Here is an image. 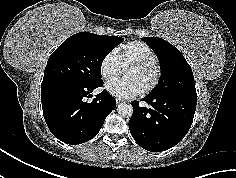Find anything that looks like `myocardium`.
Returning <instances> with one entry per match:
<instances>
[{
	"instance_id": "f54148a6",
	"label": "myocardium",
	"mask_w": 236,
	"mask_h": 178,
	"mask_svg": "<svg viewBox=\"0 0 236 178\" xmlns=\"http://www.w3.org/2000/svg\"><path fill=\"white\" fill-rule=\"evenodd\" d=\"M128 68H139V69H145V70H153L154 76L152 81L142 90V93L148 94L151 91H153L158 84L160 83L161 77H162V68L161 65L156 62L151 61H134L129 63L125 69Z\"/></svg>"
}]
</instances>
